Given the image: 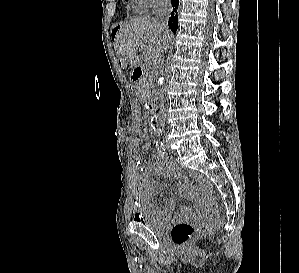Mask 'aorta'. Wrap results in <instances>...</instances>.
I'll return each instance as SVG.
<instances>
[{"label": "aorta", "instance_id": "1", "mask_svg": "<svg viewBox=\"0 0 299 273\" xmlns=\"http://www.w3.org/2000/svg\"><path fill=\"white\" fill-rule=\"evenodd\" d=\"M160 84L162 83V78L159 79ZM149 124L156 132H161L162 123L158 115L152 114L149 117Z\"/></svg>", "mask_w": 299, "mask_h": 273}]
</instances>
